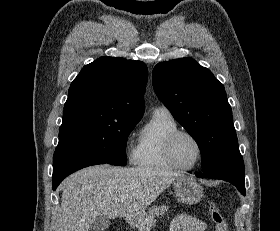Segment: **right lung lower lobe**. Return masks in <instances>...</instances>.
Instances as JSON below:
<instances>
[{
    "instance_id": "obj_1",
    "label": "right lung lower lobe",
    "mask_w": 280,
    "mask_h": 231,
    "mask_svg": "<svg viewBox=\"0 0 280 231\" xmlns=\"http://www.w3.org/2000/svg\"><path fill=\"white\" fill-rule=\"evenodd\" d=\"M107 164L103 161L88 158L76 154L59 153L53 157V190H55L62 180L71 173L82 168L97 165Z\"/></svg>"
}]
</instances>
